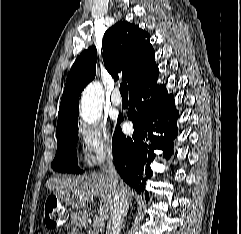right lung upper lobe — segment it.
Instances as JSON below:
<instances>
[{"label": "right lung upper lobe", "mask_w": 241, "mask_h": 234, "mask_svg": "<svg viewBox=\"0 0 241 234\" xmlns=\"http://www.w3.org/2000/svg\"><path fill=\"white\" fill-rule=\"evenodd\" d=\"M103 59L108 72L117 79L123 71V80L129 91L145 80L156 69L150 35L138 26L119 21L109 28L103 38ZM97 50L94 46L78 56L68 73L58 112L56 132L78 124L79 96L96 74Z\"/></svg>", "instance_id": "obj_1"}]
</instances>
